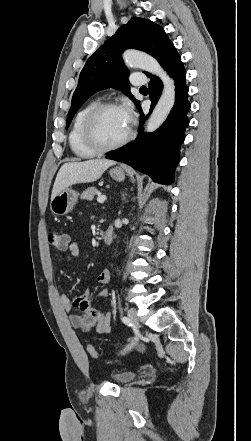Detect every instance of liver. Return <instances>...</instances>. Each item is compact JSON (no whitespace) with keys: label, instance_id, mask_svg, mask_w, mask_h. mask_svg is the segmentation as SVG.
I'll use <instances>...</instances> for the list:
<instances>
[{"label":"liver","instance_id":"obj_1","mask_svg":"<svg viewBox=\"0 0 251 441\" xmlns=\"http://www.w3.org/2000/svg\"><path fill=\"white\" fill-rule=\"evenodd\" d=\"M115 163L112 160L91 159L63 164L56 176L51 199L69 186L96 181L108 167Z\"/></svg>","mask_w":251,"mask_h":441}]
</instances>
